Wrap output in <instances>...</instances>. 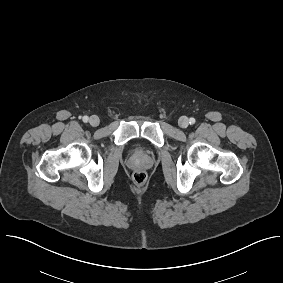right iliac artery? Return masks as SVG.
Masks as SVG:
<instances>
[{"instance_id": "obj_1", "label": "right iliac artery", "mask_w": 283, "mask_h": 283, "mask_svg": "<svg viewBox=\"0 0 283 283\" xmlns=\"http://www.w3.org/2000/svg\"><path fill=\"white\" fill-rule=\"evenodd\" d=\"M88 119H89L88 116H84V117L82 118L83 122H87Z\"/></svg>"}]
</instances>
